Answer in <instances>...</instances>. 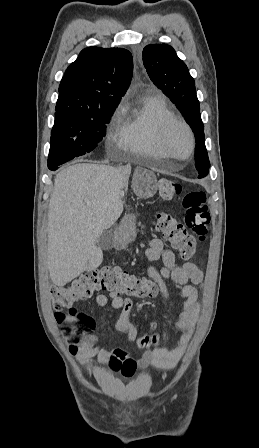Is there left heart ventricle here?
Segmentation results:
<instances>
[{"label":"left heart ventricle","mask_w":259,"mask_h":448,"mask_svg":"<svg viewBox=\"0 0 259 448\" xmlns=\"http://www.w3.org/2000/svg\"><path fill=\"white\" fill-rule=\"evenodd\" d=\"M170 149L148 150L146 155L166 162L188 161L189 156V138L185 130L180 127H174L169 135Z\"/></svg>","instance_id":"1"}]
</instances>
